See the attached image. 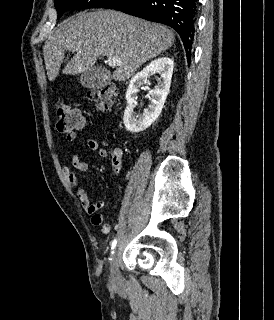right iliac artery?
I'll return each instance as SVG.
<instances>
[{
	"label": "right iliac artery",
	"mask_w": 274,
	"mask_h": 320,
	"mask_svg": "<svg viewBox=\"0 0 274 320\" xmlns=\"http://www.w3.org/2000/svg\"><path fill=\"white\" fill-rule=\"evenodd\" d=\"M116 244H117V240L116 239H114L113 241H112V243H111V249H112V254L114 253V249H115V247H116Z\"/></svg>",
	"instance_id": "82829eb1"
}]
</instances>
